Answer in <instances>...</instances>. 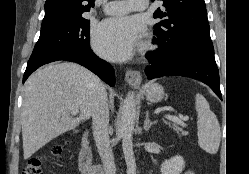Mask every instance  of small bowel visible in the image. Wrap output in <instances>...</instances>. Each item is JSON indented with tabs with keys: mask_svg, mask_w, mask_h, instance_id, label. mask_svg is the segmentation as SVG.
<instances>
[{
	"mask_svg": "<svg viewBox=\"0 0 249 174\" xmlns=\"http://www.w3.org/2000/svg\"><path fill=\"white\" fill-rule=\"evenodd\" d=\"M185 174H195L192 170H187Z\"/></svg>",
	"mask_w": 249,
	"mask_h": 174,
	"instance_id": "c3829d8e",
	"label": "small bowel"
}]
</instances>
